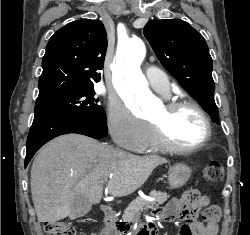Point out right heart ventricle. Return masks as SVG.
Returning <instances> with one entry per match:
<instances>
[{"label":"right heart ventricle","instance_id":"obj_1","mask_svg":"<svg viewBox=\"0 0 250 235\" xmlns=\"http://www.w3.org/2000/svg\"><path fill=\"white\" fill-rule=\"evenodd\" d=\"M162 149H163L162 146L157 141L155 133H154L153 129L151 128L149 139H148L147 143L144 145V147L141 149V151L142 152H155V151H159Z\"/></svg>","mask_w":250,"mask_h":235}]
</instances>
